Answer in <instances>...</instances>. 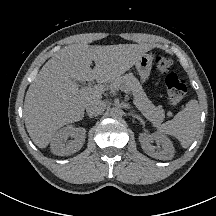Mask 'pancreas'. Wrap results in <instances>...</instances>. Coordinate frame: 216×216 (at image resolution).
<instances>
[{
  "label": "pancreas",
  "mask_w": 216,
  "mask_h": 216,
  "mask_svg": "<svg viewBox=\"0 0 216 216\" xmlns=\"http://www.w3.org/2000/svg\"><path fill=\"white\" fill-rule=\"evenodd\" d=\"M121 86L127 87L134 96V103L141 113L154 125L163 122L165 114L162 106L155 107L147 98L140 82L132 73L119 76L110 82V88L119 89Z\"/></svg>",
  "instance_id": "pancreas-1"
}]
</instances>
